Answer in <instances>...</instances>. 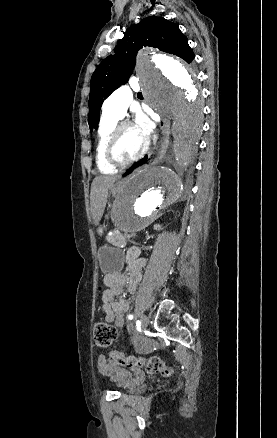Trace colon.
Instances as JSON below:
<instances>
[{
    "label": "colon",
    "mask_w": 277,
    "mask_h": 438,
    "mask_svg": "<svg viewBox=\"0 0 277 438\" xmlns=\"http://www.w3.org/2000/svg\"><path fill=\"white\" fill-rule=\"evenodd\" d=\"M117 337L116 328L104 321H98L93 326V340L95 347L100 351H107ZM107 361L113 364L130 368L146 366L149 373H160L164 377H171L175 369L167 366L159 357H130L123 353L114 352L107 356Z\"/></svg>",
    "instance_id": "colon-1"
}]
</instances>
